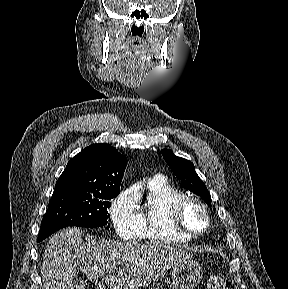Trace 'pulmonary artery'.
Masks as SVG:
<instances>
[{"label":"pulmonary artery","mask_w":288,"mask_h":289,"mask_svg":"<svg viewBox=\"0 0 288 289\" xmlns=\"http://www.w3.org/2000/svg\"><path fill=\"white\" fill-rule=\"evenodd\" d=\"M163 179L164 178L161 175H156L149 182H157V181H161Z\"/></svg>","instance_id":"e3ab8cb5"}]
</instances>
